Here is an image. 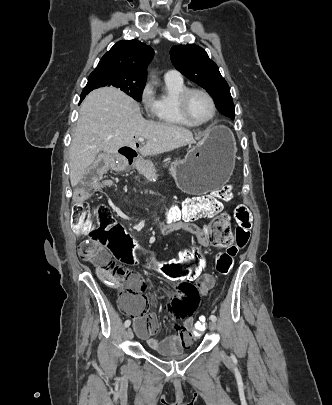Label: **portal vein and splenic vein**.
Wrapping results in <instances>:
<instances>
[{"label": "portal vein and splenic vein", "mask_w": 332, "mask_h": 405, "mask_svg": "<svg viewBox=\"0 0 332 405\" xmlns=\"http://www.w3.org/2000/svg\"><path fill=\"white\" fill-rule=\"evenodd\" d=\"M138 141L143 143V142H144V138L139 137V138H138Z\"/></svg>", "instance_id": "obj_1"}]
</instances>
